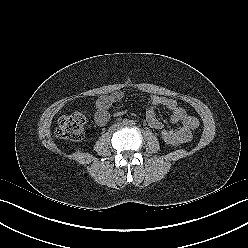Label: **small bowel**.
<instances>
[{
    "label": "small bowel",
    "instance_id": "1",
    "mask_svg": "<svg viewBox=\"0 0 248 248\" xmlns=\"http://www.w3.org/2000/svg\"><path fill=\"white\" fill-rule=\"evenodd\" d=\"M124 97V92L115 91L110 94L100 96L94 105V121L98 126H104L109 120V108L120 102ZM162 106L171 111V123L173 125L181 122L182 126L170 129L177 134L179 143H185L192 137V132L199 126V121L196 117L190 115L184 108L180 107L174 99L163 96L153 95L150 98L149 106L146 113V120L149 126L153 129L160 130L163 128V123L156 115V108Z\"/></svg>",
    "mask_w": 248,
    "mask_h": 248
}]
</instances>
